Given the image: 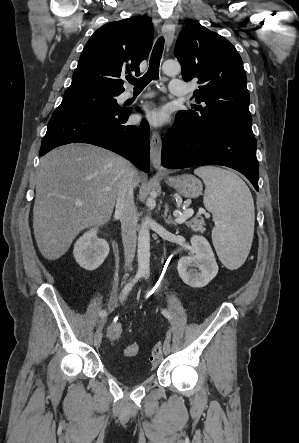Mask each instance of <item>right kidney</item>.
Instances as JSON below:
<instances>
[{"label":"right kidney","mask_w":299,"mask_h":443,"mask_svg":"<svg viewBox=\"0 0 299 443\" xmlns=\"http://www.w3.org/2000/svg\"><path fill=\"white\" fill-rule=\"evenodd\" d=\"M109 254V244L98 238L97 229L84 233L75 243L73 255L76 262L85 270L97 269Z\"/></svg>","instance_id":"1"}]
</instances>
